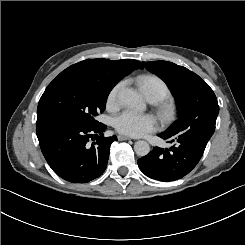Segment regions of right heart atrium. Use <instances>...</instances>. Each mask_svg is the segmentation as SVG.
<instances>
[{"label": "right heart atrium", "mask_w": 245, "mask_h": 245, "mask_svg": "<svg viewBox=\"0 0 245 245\" xmlns=\"http://www.w3.org/2000/svg\"><path fill=\"white\" fill-rule=\"evenodd\" d=\"M122 87V83H117L115 86L112 87L108 96L106 105L109 109H114L119 104V93Z\"/></svg>", "instance_id": "1"}]
</instances>
